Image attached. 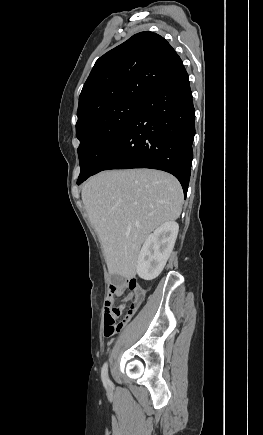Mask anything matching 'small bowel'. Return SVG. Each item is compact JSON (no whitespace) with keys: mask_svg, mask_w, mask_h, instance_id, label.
I'll list each match as a JSON object with an SVG mask.
<instances>
[{"mask_svg":"<svg viewBox=\"0 0 263 435\" xmlns=\"http://www.w3.org/2000/svg\"><path fill=\"white\" fill-rule=\"evenodd\" d=\"M114 301H115V294L111 293V295H109V297L107 298V300L105 302V313L113 307ZM128 321L129 320L123 321V327L126 325V323Z\"/></svg>","mask_w":263,"mask_h":435,"instance_id":"1","label":"small bowel"}]
</instances>
